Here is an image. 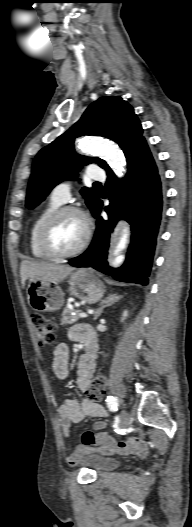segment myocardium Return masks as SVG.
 I'll list each match as a JSON object with an SVG mask.
<instances>
[{
	"label": "myocardium",
	"mask_w": 192,
	"mask_h": 527,
	"mask_svg": "<svg viewBox=\"0 0 192 527\" xmlns=\"http://www.w3.org/2000/svg\"><path fill=\"white\" fill-rule=\"evenodd\" d=\"M66 214H76L78 215L84 223L85 226V234L82 239V241L79 243V245L66 252L59 251L54 248L52 242H51V234L52 230L56 224V222L64 215ZM92 225L90 223V220L88 216L85 214L83 210L76 206H61L54 210L44 221V223L41 226L40 232H39V243L41 246V249L43 252L52 259H66L74 257L78 254H80L82 251H84L87 246L89 245L91 239H92Z\"/></svg>",
	"instance_id": "f54148a6"
}]
</instances>
